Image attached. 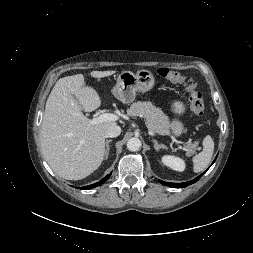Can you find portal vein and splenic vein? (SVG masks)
<instances>
[{
	"instance_id": "18ae733b",
	"label": "portal vein and splenic vein",
	"mask_w": 253,
	"mask_h": 253,
	"mask_svg": "<svg viewBox=\"0 0 253 253\" xmlns=\"http://www.w3.org/2000/svg\"><path fill=\"white\" fill-rule=\"evenodd\" d=\"M118 120V116L112 113H101L97 118H94L91 121V124H97L101 122H107V121H116Z\"/></svg>"
}]
</instances>
